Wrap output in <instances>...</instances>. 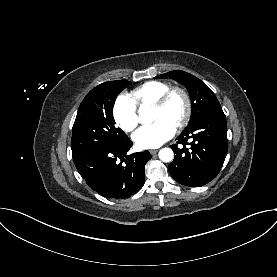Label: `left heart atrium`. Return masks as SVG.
<instances>
[{
	"instance_id": "left-heart-atrium-1",
	"label": "left heart atrium",
	"mask_w": 277,
	"mask_h": 277,
	"mask_svg": "<svg viewBox=\"0 0 277 277\" xmlns=\"http://www.w3.org/2000/svg\"><path fill=\"white\" fill-rule=\"evenodd\" d=\"M176 133V125L159 119L151 125L140 127L132 136L135 144L142 149L157 148L170 140Z\"/></svg>"
}]
</instances>
